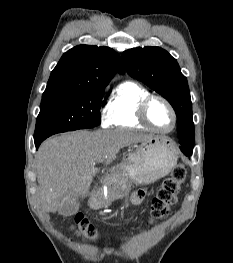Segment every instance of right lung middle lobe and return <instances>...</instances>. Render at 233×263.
Instances as JSON below:
<instances>
[{"instance_id": "1", "label": "right lung middle lobe", "mask_w": 233, "mask_h": 263, "mask_svg": "<svg viewBox=\"0 0 233 263\" xmlns=\"http://www.w3.org/2000/svg\"><path fill=\"white\" fill-rule=\"evenodd\" d=\"M103 95L104 89L43 95L34 141L44 140L59 132L98 126L101 123Z\"/></svg>"}]
</instances>
